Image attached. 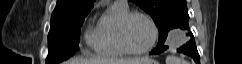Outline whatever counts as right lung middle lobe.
<instances>
[{
  "mask_svg": "<svg viewBox=\"0 0 242 64\" xmlns=\"http://www.w3.org/2000/svg\"><path fill=\"white\" fill-rule=\"evenodd\" d=\"M87 14L51 20L46 64H58L76 53L79 49L81 25Z\"/></svg>",
  "mask_w": 242,
  "mask_h": 64,
  "instance_id": "obj_1",
  "label": "right lung middle lobe"
}]
</instances>
